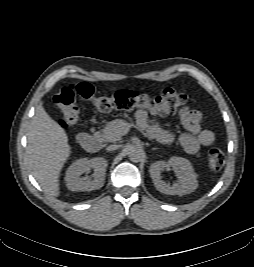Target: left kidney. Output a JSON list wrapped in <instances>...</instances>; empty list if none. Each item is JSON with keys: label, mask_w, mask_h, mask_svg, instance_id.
<instances>
[{"label": "left kidney", "mask_w": 254, "mask_h": 267, "mask_svg": "<svg viewBox=\"0 0 254 267\" xmlns=\"http://www.w3.org/2000/svg\"><path fill=\"white\" fill-rule=\"evenodd\" d=\"M172 167L179 178L178 183L170 186L161 177V172L165 167ZM150 176L155 188L167 195H185L193 192L197 186V175L189 160L182 157H171L168 162L156 161L150 165Z\"/></svg>", "instance_id": "left-kidney-1"}]
</instances>
